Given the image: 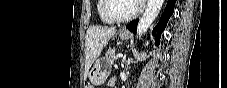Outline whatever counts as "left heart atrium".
Returning <instances> with one entry per match:
<instances>
[{
	"mask_svg": "<svg viewBox=\"0 0 227 88\" xmlns=\"http://www.w3.org/2000/svg\"><path fill=\"white\" fill-rule=\"evenodd\" d=\"M137 4H144L145 0H136Z\"/></svg>",
	"mask_w": 227,
	"mask_h": 88,
	"instance_id": "1",
	"label": "left heart atrium"
}]
</instances>
